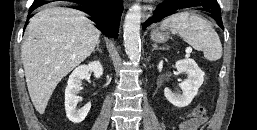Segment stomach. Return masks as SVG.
I'll return each mask as SVG.
<instances>
[{
    "label": "stomach",
    "mask_w": 257,
    "mask_h": 130,
    "mask_svg": "<svg viewBox=\"0 0 257 130\" xmlns=\"http://www.w3.org/2000/svg\"><path fill=\"white\" fill-rule=\"evenodd\" d=\"M150 37L154 42H165L169 38V32L163 28H154Z\"/></svg>",
    "instance_id": "1"
}]
</instances>
